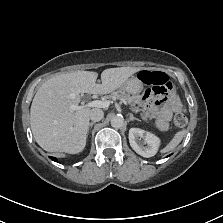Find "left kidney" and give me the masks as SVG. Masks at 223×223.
Listing matches in <instances>:
<instances>
[{
  "instance_id": "5707ae66",
  "label": "left kidney",
  "mask_w": 223,
  "mask_h": 223,
  "mask_svg": "<svg viewBox=\"0 0 223 223\" xmlns=\"http://www.w3.org/2000/svg\"><path fill=\"white\" fill-rule=\"evenodd\" d=\"M138 136L143 137L145 142H147L148 145L146 147H140L137 144L136 138ZM129 142L135 152L147 158L155 156L158 153L162 144L161 138H159L156 134L145 131L141 128H130Z\"/></svg>"
}]
</instances>
